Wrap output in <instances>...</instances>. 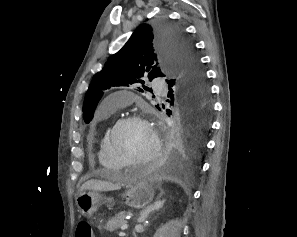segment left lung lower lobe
I'll return each mask as SVG.
<instances>
[{
  "instance_id": "0a47b994",
  "label": "left lung lower lobe",
  "mask_w": 297,
  "mask_h": 237,
  "mask_svg": "<svg viewBox=\"0 0 297 237\" xmlns=\"http://www.w3.org/2000/svg\"><path fill=\"white\" fill-rule=\"evenodd\" d=\"M174 89L169 85L168 97L174 101ZM176 105L182 118V129L170 137L164 164L168 168H186L198 160L206 142L211 104L199 106L191 99L176 95Z\"/></svg>"
}]
</instances>
